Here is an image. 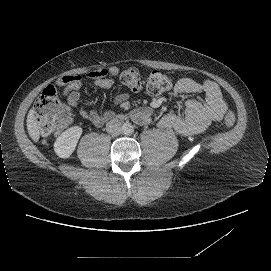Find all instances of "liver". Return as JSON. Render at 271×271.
<instances>
[{
  "label": "liver",
  "mask_w": 271,
  "mask_h": 271,
  "mask_svg": "<svg viewBox=\"0 0 271 271\" xmlns=\"http://www.w3.org/2000/svg\"><path fill=\"white\" fill-rule=\"evenodd\" d=\"M26 123H27V130H28L29 136L34 142H38L40 138V131L36 122L34 109L29 110Z\"/></svg>",
  "instance_id": "liver-1"
}]
</instances>
